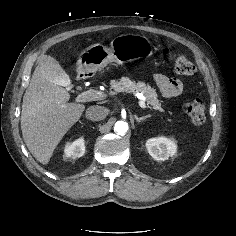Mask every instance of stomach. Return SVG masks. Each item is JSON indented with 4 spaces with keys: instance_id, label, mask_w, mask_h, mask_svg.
<instances>
[{
    "instance_id": "1",
    "label": "stomach",
    "mask_w": 236,
    "mask_h": 236,
    "mask_svg": "<svg viewBox=\"0 0 236 236\" xmlns=\"http://www.w3.org/2000/svg\"><path fill=\"white\" fill-rule=\"evenodd\" d=\"M152 54L153 46L145 36L119 35L111 41L110 47L98 43L86 48L78 58L77 71L79 74L89 75L100 71L111 62L123 64L150 57Z\"/></svg>"
}]
</instances>
